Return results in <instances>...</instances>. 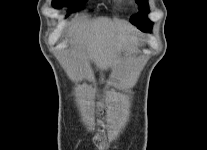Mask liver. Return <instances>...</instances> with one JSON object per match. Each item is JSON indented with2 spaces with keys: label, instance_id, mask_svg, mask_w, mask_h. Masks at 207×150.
<instances>
[{
  "label": "liver",
  "instance_id": "1",
  "mask_svg": "<svg viewBox=\"0 0 207 150\" xmlns=\"http://www.w3.org/2000/svg\"><path fill=\"white\" fill-rule=\"evenodd\" d=\"M71 42L84 44L101 70L107 69L121 49L132 48L136 37L132 26L122 21L98 18L89 24L77 23L70 28Z\"/></svg>",
  "mask_w": 207,
  "mask_h": 150
}]
</instances>
